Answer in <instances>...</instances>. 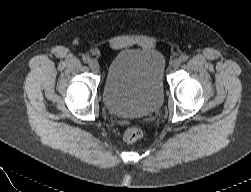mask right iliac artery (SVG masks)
<instances>
[{"label":"right iliac artery","mask_w":251,"mask_h":192,"mask_svg":"<svg viewBox=\"0 0 251 192\" xmlns=\"http://www.w3.org/2000/svg\"><path fill=\"white\" fill-rule=\"evenodd\" d=\"M82 60H83L84 63H88L90 61V57L88 55H84L82 57Z\"/></svg>","instance_id":"right-iliac-artery-1"}]
</instances>
